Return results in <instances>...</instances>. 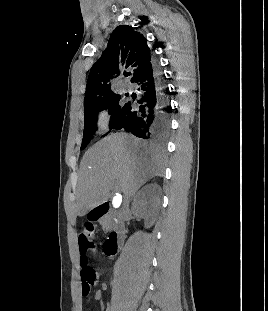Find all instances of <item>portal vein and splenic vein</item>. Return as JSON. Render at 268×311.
I'll return each instance as SVG.
<instances>
[{
	"label": "portal vein and splenic vein",
	"mask_w": 268,
	"mask_h": 311,
	"mask_svg": "<svg viewBox=\"0 0 268 311\" xmlns=\"http://www.w3.org/2000/svg\"><path fill=\"white\" fill-rule=\"evenodd\" d=\"M113 188L117 190V189H118V186H117L116 184H113ZM116 199H119V200H120L121 197H116Z\"/></svg>",
	"instance_id": "portal-vein-and-splenic-vein-1"
}]
</instances>
